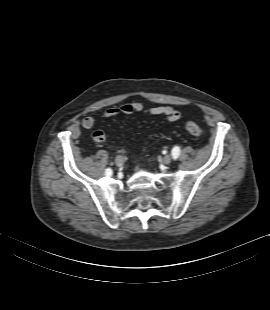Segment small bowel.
<instances>
[{"mask_svg": "<svg viewBox=\"0 0 270 310\" xmlns=\"http://www.w3.org/2000/svg\"><path fill=\"white\" fill-rule=\"evenodd\" d=\"M133 113H144L152 116H164L168 121L174 122L180 118V113L170 106H157L146 108L141 102H132L120 105L118 107L109 108L105 111L102 118L110 119L119 115H131ZM96 123L95 118L85 117L82 119L81 124L85 129L92 128ZM92 139L96 143L104 142L107 140L106 134L101 130H96L92 134Z\"/></svg>", "mask_w": 270, "mask_h": 310, "instance_id": "1", "label": "small bowel"}]
</instances>
